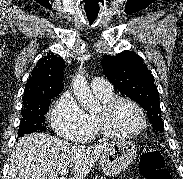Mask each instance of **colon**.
<instances>
[{"instance_id":"colon-1","label":"colon","mask_w":183,"mask_h":179,"mask_svg":"<svg viewBox=\"0 0 183 179\" xmlns=\"http://www.w3.org/2000/svg\"><path fill=\"white\" fill-rule=\"evenodd\" d=\"M140 171L145 179H172L163 154L155 148L144 150L140 160Z\"/></svg>"}]
</instances>
